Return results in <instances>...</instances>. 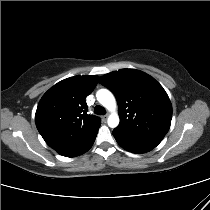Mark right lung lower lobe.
I'll return each instance as SVG.
<instances>
[{"instance_id":"98d812e1","label":"right lung lower lobe","mask_w":210,"mask_h":210,"mask_svg":"<svg viewBox=\"0 0 210 210\" xmlns=\"http://www.w3.org/2000/svg\"><path fill=\"white\" fill-rule=\"evenodd\" d=\"M93 143H94V142H93ZM93 143L90 144L87 148H85L83 151H81V152H80L79 154H77L76 156L81 155V154L87 152V151L91 148V146L93 145Z\"/></svg>"}]
</instances>
